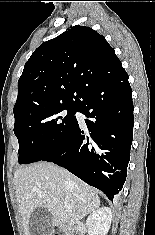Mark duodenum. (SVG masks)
Segmentation results:
<instances>
[{
	"label": "duodenum",
	"mask_w": 155,
	"mask_h": 235,
	"mask_svg": "<svg viewBox=\"0 0 155 235\" xmlns=\"http://www.w3.org/2000/svg\"><path fill=\"white\" fill-rule=\"evenodd\" d=\"M64 235H81L77 226H66L63 229Z\"/></svg>",
	"instance_id": "duodenum-1"
}]
</instances>
